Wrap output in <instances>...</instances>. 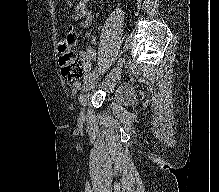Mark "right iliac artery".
<instances>
[{
  "label": "right iliac artery",
  "mask_w": 219,
  "mask_h": 192,
  "mask_svg": "<svg viewBox=\"0 0 219 192\" xmlns=\"http://www.w3.org/2000/svg\"><path fill=\"white\" fill-rule=\"evenodd\" d=\"M93 75H94V71H93V72H90L89 74H87L83 81L86 82V81H87L88 79H90ZM76 87H80V83H76Z\"/></svg>",
  "instance_id": "1"
}]
</instances>
